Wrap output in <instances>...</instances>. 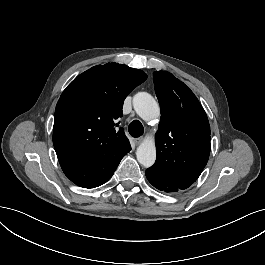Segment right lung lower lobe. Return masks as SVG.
<instances>
[{
    "mask_svg": "<svg viewBox=\"0 0 265 265\" xmlns=\"http://www.w3.org/2000/svg\"><path fill=\"white\" fill-rule=\"evenodd\" d=\"M131 150L130 144L118 145L103 155H58L65 175L76 185L94 188L105 183L121 159Z\"/></svg>",
    "mask_w": 265,
    "mask_h": 265,
    "instance_id": "98d812e1",
    "label": "right lung lower lobe"
}]
</instances>
